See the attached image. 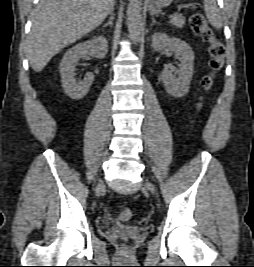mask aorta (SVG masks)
<instances>
[{
	"label": "aorta",
	"instance_id": "762f6f07",
	"mask_svg": "<svg viewBox=\"0 0 254 267\" xmlns=\"http://www.w3.org/2000/svg\"><path fill=\"white\" fill-rule=\"evenodd\" d=\"M141 10L142 0H129L127 7V28L129 36L134 43H138L141 38Z\"/></svg>",
	"mask_w": 254,
	"mask_h": 267
}]
</instances>
